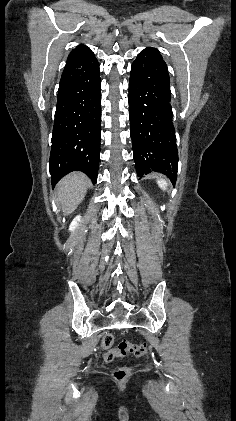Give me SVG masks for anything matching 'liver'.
I'll return each instance as SVG.
<instances>
[{"label": "liver", "instance_id": "obj_1", "mask_svg": "<svg viewBox=\"0 0 236 421\" xmlns=\"http://www.w3.org/2000/svg\"><path fill=\"white\" fill-rule=\"evenodd\" d=\"M91 180L84 172H71L59 180L57 202L61 204L64 215H71L78 204L82 202Z\"/></svg>", "mask_w": 236, "mask_h": 421}]
</instances>
